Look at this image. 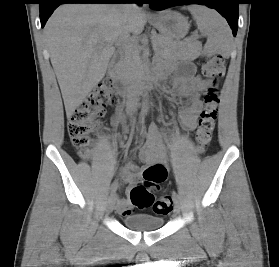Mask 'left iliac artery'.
Instances as JSON below:
<instances>
[{"instance_id": "1", "label": "left iliac artery", "mask_w": 279, "mask_h": 267, "mask_svg": "<svg viewBox=\"0 0 279 267\" xmlns=\"http://www.w3.org/2000/svg\"><path fill=\"white\" fill-rule=\"evenodd\" d=\"M173 200H178V194L175 191H173Z\"/></svg>"}]
</instances>
